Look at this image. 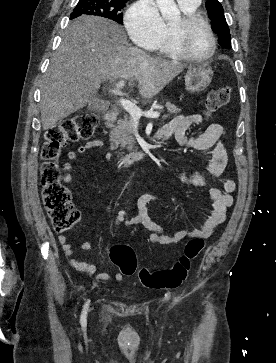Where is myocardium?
I'll list each match as a JSON object with an SVG mask.
<instances>
[{"label":"myocardium","instance_id":"myocardium-1","mask_svg":"<svg viewBox=\"0 0 276 363\" xmlns=\"http://www.w3.org/2000/svg\"><path fill=\"white\" fill-rule=\"evenodd\" d=\"M197 24H203L205 26L211 39V49L205 55H196L192 53L191 51H189L185 43V38L187 34L191 30V28ZM172 37L173 43L177 50L181 53L182 57L189 60L197 62L209 60L215 54L217 49V40L211 24L202 14L198 12L184 14L179 21L174 23L172 28Z\"/></svg>","mask_w":276,"mask_h":363}]
</instances>
